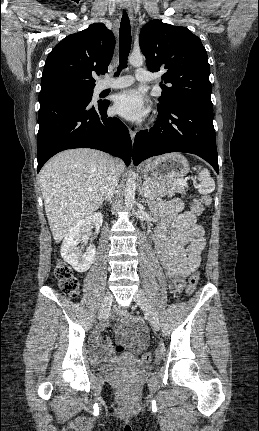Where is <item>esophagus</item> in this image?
Listing matches in <instances>:
<instances>
[{
  "label": "esophagus",
  "mask_w": 259,
  "mask_h": 431,
  "mask_svg": "<svg viewBox=\"0 0 259 431\" xmlns=\"http://www.w3.org/2000/svg\"><path fill=\"white\" fill-rule=\"evenodd\" d=\"M126 9H127V12H128V15H129L131 22H133V11H132V8L129 6V4H126ZM129 134H130L132 141H134L136 133L132 129H129Z\"/></svg>",
  "instance_id": "esophagus-1"
}]
</instances>
